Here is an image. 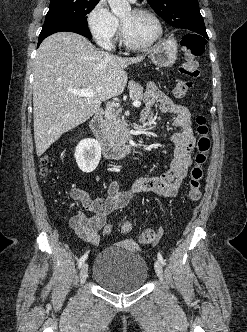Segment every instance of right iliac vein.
<instances>
[{
  "instance_id": "1",
  "label": "right iliac vein",
  "mask_w": 247,
  "mask_h": 332,
  "mask_svg": "<svg viewBox=\"0 0 247 332\" xmlns=\"http://www.w3.org/2000/svg\"><path fill=\"white\" fill-rule=\"evenodd\" d=\"M88 277V264L84 263L80 271V282L84 283Z\"/></svg>"
}]
</instances>
